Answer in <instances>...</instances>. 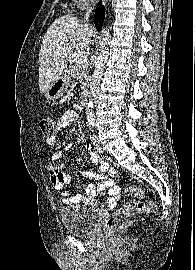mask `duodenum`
<instances>
[{
	"label": "duodenum",
	"mask_w": 195,
	"mask_h": 270,
	"mask_svg": "<svg viewBox=\"0 0 195 270\" xmlns=\"http://www.w3.org/2000/svg\"><path fill=\"white\" fill-rule=\"evenodd\" d=\"M86 100H87V96H86V94H83V96H82V102L85 103Z\"/></svg>",
	"instance_id": "410a0bca"
}]
</instances>
